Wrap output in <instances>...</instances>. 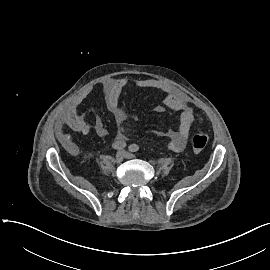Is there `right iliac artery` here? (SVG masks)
<instances>
[{
  "label": "right iliac artery",
  "mask_w": 270,
  "mask_h": 270,
  "mask_svg": "<svg viewBox=\"0 0 270 270\" xmlns=\"http://www.w3.org/2000/svg\"><path fill=\"white\" fill-rule=\"evenodd\" d=\"M126 147V143L124 141H116L112 144V148L115 150H122Z\"/></svg>",
  "instance_id": "82829eb1"
}]
</instances>
